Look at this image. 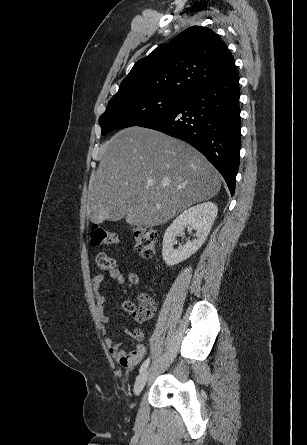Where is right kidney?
Segmentation results:
<instances>
[{
  "label": "right kidney",
  "instance_id": "ca27d5eb",
  "mask_svg": "<svg viewBox=\"0 0 307 445\" xmlns=\"http://www.w3.org/2000/svg\"><path fill=\"white\" fill-rule=\"evenodd\" d=\"M217 212L218 208L215 202H202V204L190 206L173 220L163 237L162 257L169 267L186 261L200 249L211 231ZM188 225L197 231L195 239L174 249L177 235H181L184 227H188Z\"/></svg>",
  "mask_w": 307,
  "mask_h": 445
}]
</instances>
